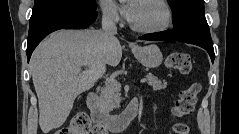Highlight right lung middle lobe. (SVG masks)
Returning a JSON list of instances; mask_svg holds the SVG:
<instances>
[{
	"instance_id": "dd1d6c3e",
	"label": "right lung middle lobe",
	"mask_w": 239,
	"mask_h": 134,
	"mask_svg": "<svg viewBox=\"0 0 239 134\" xmlns=\"http://www.w3.org/2000/svg\"><path fill=\"white\" fill-rule=\"evenodd\" d=\"M61 5H75L88 10H96L95 0H35L31 18H35L48 9Z\"/></svg>"
}]
</instances>
